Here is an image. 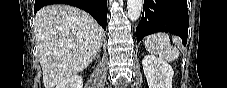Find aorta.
<instances>
[{
  "label": "aorta",
  "mask_w": 227,
  "mask_h": 88,
  "mask_svg": "<svg viewBox=\"0 0 227 88\" xmlns=\"http://www.w3.org/2000/svg\"><path fill=\"white\" fill-rule=\"evenodd\" d=\"M142 0H127L128 18L136 21L141 15Z\"/></svg>",
  "instance_id": "aorta-1"
}]
</instances>
